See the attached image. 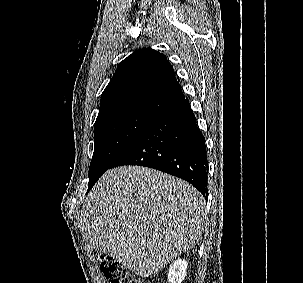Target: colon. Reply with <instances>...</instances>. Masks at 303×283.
<instances>
[{"label":"colon","mask_w":303,"mask_h":283,"mask_svg":"<svg viewBox=\"0 0 303 283\" xmlns=\"http://www.w3.org/2000/svg\"><path fill=\"white\" fill-rule=\"evenodd\" d=\"M100 269L110 283H143L131 276L119 262L107 256L100 258Z\"/></svg>","instance_id":"obj_1"}]
</instances>
